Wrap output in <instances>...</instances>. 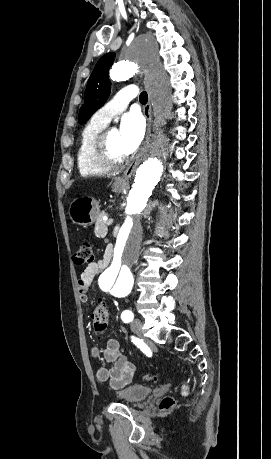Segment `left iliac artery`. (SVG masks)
<instances>
[{"mask_svg":"<svg viewBox=\"0 0 271 459\" xmlns=\"http://www.w3.org/2000/svg\"><path fill=\"white\" fill-rule=\"evenodd\" d=\"M134 314L130 310H125L121 314V319L124 321V323H129L133 320Z\"/></svg>","mask_w":271,"mask_h":459,"instance_id":"obj_1","label":"left iliac artery"}]
</instances>
